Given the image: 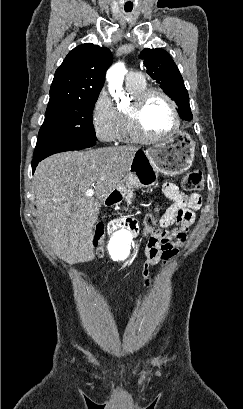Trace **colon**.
I'll return each instance as SVG.
<instances>
[{
	"instance_id": "colon-1",
	"label": "colon",
	"mask_w": 243,
	"mask_h": 409,
	"mask_svg": "<svg viewBox=\"0 0 243 409\" xmlns=\"http://www.w3.org/2000/svg\"><path fill=\"white\" fill-rule=\"evenodd\" d=\"M205 187V178L200 169L189 171L183 179V188L187 191H200ZM146 234L157 236L164 233L158 225V218L155 214H148L144 219ZM104 237V227L102 224H97L94 228L93 243L97 245ZM99 253L103 254V249H99Z\"/></svg>"
}]
</instances>
